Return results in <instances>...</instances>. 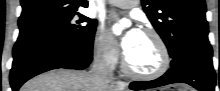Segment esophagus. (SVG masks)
I'll use <instances>...</instances> for the list:
<instances>
[{
  "label": "esophagus",
  "mask_w": 220,
  "mask_h": 91,
  "mask_svg": "<svg viewBox=\"0 0 220 91\" xmlns=\"http://www.w3.org/2000/svg\"><path fill=\"white\" fill-rule=\"evenodd\" d=\"M116 87H117L118 91H126L127 84L125 82L119 80L116 82Z\"/></svg>",
  "instance_id": "34e87169"
}]
</instances>
